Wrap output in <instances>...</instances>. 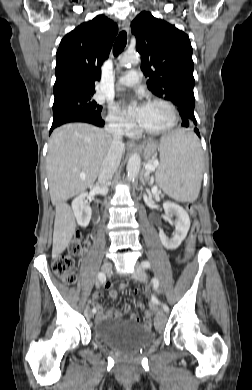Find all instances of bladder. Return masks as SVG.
<instances>
[{"label":"bladder","instance_id":"bladder-1","mask_svg":"<svg viewBox=\"0 0 252 390\" xmlns=\"http://www.w3.org/2000/svg\"><path fill=\"white\" fill-rule=\"evenodd\" d=\"M93 336L102 344L124 354L139 352L155 340L150 328L131 321L112 319L97 321Z\"/></svg>","mask_w":252,"mask_h":390}]
</instances>
